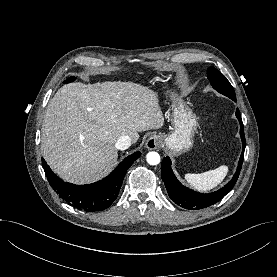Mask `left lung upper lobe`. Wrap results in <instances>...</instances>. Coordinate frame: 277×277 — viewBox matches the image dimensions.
Returning a JSON list of instances; mask_svg holds the SVG:
<instances>
[{"instance_id": "obj_1", "label": "left lung upper lobe", "mask_w": 277, "mask_h": 277, "mask_svg": "<svg viewBox=\"0 0 277 277\" xmlns=\"http://www.w3.org/2000/svg\"><path fill=\"white\" fill-rule=\"evenodd\" d=\"M208 79L212 87L219 93L229 97L233 101H236L234 89L227 78L214 67H210L207 70Z\"/></svg>"}]
</instances>
